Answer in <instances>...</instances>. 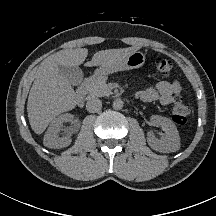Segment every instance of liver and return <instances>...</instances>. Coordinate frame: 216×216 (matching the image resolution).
Masks as SVG:
<instances>
[{
    "instance_id": "1",
    "label": "liver",
    "mask_w": 216,
    "mask_h": 216,
    "mask_svg": "<svg viewBox=\"0 0 216 216\" xmlns=\"http://www.w3.org/2000/svg\"><path fill=\"white\" fill-rule=\"evenodd\" d=\"M138 48L108 49L96 52L87 66H105L124 59ZM88 49L61 50L45 59L30 89L27 112L32 130L36 134L45 131L49 123L59 114L72 110L77 104L73 87L59 74V66L83 64Z\"/></svg>"
}]
</instances>
